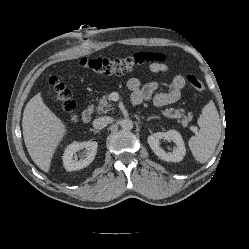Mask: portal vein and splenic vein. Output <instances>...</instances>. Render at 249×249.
<instances>
[{
    "label": "portal vein and splenic vein",
    "mask_w": 249,
    "mask_h": 249,
    "mask_svg": "<svg viewBox=\"0 0 249 249\" xmlns=\"http://www.w3.org/2000/svg\"><path fill=\"white\" fill-rule=\"evenodd\" d=\"M190 129H191L193 132H196V131L198 130V128L195 127V126H191Z\"/></svg>",
    "instance_id": "18ae733b"
}]
</instances>
